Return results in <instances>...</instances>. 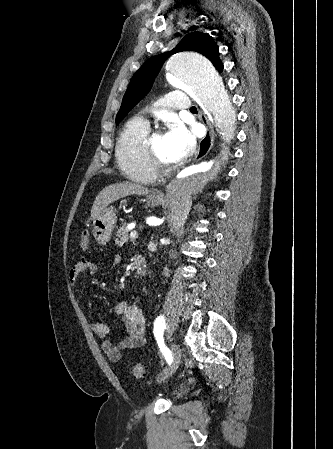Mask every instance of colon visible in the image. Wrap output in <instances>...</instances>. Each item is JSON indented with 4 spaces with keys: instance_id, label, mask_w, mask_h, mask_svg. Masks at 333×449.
<instances>
[{
    "instance_id": "colon-1",
    "label": "colon",
    "mask_w": 333,
    "mask_h": 449,
    "mask_svg": "<svg viewBox=\"0 0 333 449\" xmlns=\"http://www.w3.org/2000/svg\"><path fill=\"white\" fill-rule=\"evenodd\" d=\"M79 246L82 250H86L90 246V236L88 231L84 230L78 237ZM133 375L137 378H140L144 375L145 370L141 364H135L132 367Z\"/></svg>"
}]
</instances>
